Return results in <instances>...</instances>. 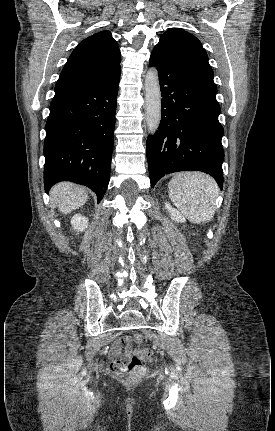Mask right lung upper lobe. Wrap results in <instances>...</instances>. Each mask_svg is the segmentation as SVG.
Masks as SVG:
<instances>
[{"label":"right lung upper lobe","instance_id":"1","mask_svg":"<svg viewBox=\"0 0 275 431\" xmlns=\"http://www.w3.org/2000/svg\"><path fill=\"white\" fill-rule=\"evenodd\" d=\"M121 55L109 31L84 39L71 53L55 93L104 83L120 72Z\"/></svg>","mask_w":275,"mask_h":431}]
</instances>
